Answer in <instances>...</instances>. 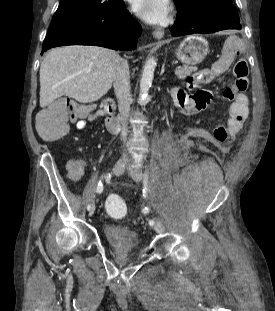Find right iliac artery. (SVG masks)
Instances as JSON below:
<instances>
[{
  "label": "right iliac artery",
  "mask_w": 275,
  "mask_h": 311,
  "mask_svg": "<svg viewBox=\"0 0 275 311\" xmlns=\"http://www.w3.org/2000/svg\"><path fill=\"white\" fill-rule=\"evenodd\" d=\"M104 178H106L107 181H109V179H110V173L106 174V175L104 176ZM102 179H103V177H102ZM103 189H104L103 183H102V181L100 180V181L98 182L96 191H97V193H102V192H103ZM87 209H88V210L91 209V205H90V204L87 206Z\"/></svg>",
  "instance_id": "82829eb1"
}]
</instances>
